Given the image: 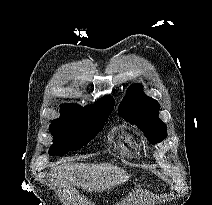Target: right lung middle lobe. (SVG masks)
Listing matches in <instances>:
<instances>
[{
  "label": "right lung middle lobe",
  "instance_id": "obj_1",
  "mask_svg": "<svg viewBox=\"0 0 212 205\" xmlns=\"http://www.w3.org/2000/svg\"><path fill=\"white\" fill-rule=\"evenodd\" d=\"M114 107L71 110L53 120L49 127L54 137L50 155H63L86 145L104 127Z\"/></svg>",
  "mask_w": 212,
  "mask_h": 205
}]
</instances>
